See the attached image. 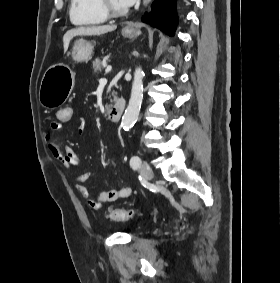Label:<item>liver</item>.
<instances>
[{
	"mask_svg": "<svg viewBox=\"0 0 280 283\" xmlns=\"http://www.w3.org/2000/svg\"><path fill=\"white\" fill-rule=\"evenodd\" d=\"M117 28L116 25H102V26H88V27H77L71 29L63 36L64 52L67 51L70 40L75 36L82 35H102L108 32H112Z\"/></svg>",
	"mask_w": 280,
	"mask_h": 283,
	"instance_id": "obj_1",
	"label": "liver"
}]
</instances>
